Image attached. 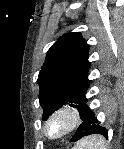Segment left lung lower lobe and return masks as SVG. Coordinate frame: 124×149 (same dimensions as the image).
<instances>
[{
	"label": "left lung lower lobe",
	"instance_id": "left-lung-lower-lobe-1",
	"mask_svg": "<svg viewBox=\"0 0 124 149\" xmlns=\"http://www.w3.org/2000/svg\"><path fill=\"white\" fill-rule=\"evenodd\" d=\"M100 135V136H108V130L100 125L97 117L94 113L89 109L87 117L85 121L79 126L76 133L71 138V142H75L80 140L81 138L88 136V135Z\"/></svg>",
	"mask_w": 124,
	"mask_h": 149
}]
</instances>
